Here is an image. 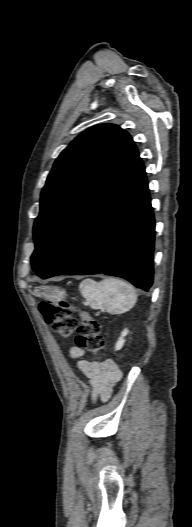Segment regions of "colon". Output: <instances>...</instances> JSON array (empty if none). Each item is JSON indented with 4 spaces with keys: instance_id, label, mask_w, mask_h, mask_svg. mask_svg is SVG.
<instances>
[{
    "instance_id": "colon-1",
    "label": "colon",
    "mask_w": 192,
    "mask_h": 527,
    "mask_svg": "<svg viewBox=\"0 0 192 527\" xmlns=\"http://www.w3.org/2000/svg\"><path fill=\"white\" fill-rule=\"evenodd\" d=\"M39 310L52 331L62 338H70L77 330L76 344L93 356H98L105 342L101 327L89 313L79 312V322L73 316L74 307L67 301L53 298L40 304Z\"/></svg>"
}]
</instances>
